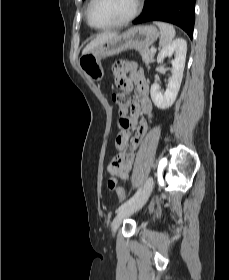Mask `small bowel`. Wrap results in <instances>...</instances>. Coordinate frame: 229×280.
<instances>
[{
	"label": "small bowel",
	"mask_w": 229,
	"mask_h": 280,
	"mask_svg": "<svg viewBox=\"0 0 229 280\" xmlns=\"http://www.w3.org/2000/svg\"><path fill=\"white\" fill-rule=\"evenodd\" d=\"M133 70L132 76L128 77L127 72ZM111 79L123 90H131L132 86L136 87V94L131 102L127 105L119 101L118 94L113 95V100L119 105V113L126 115L130 120V125H134L138 121V117L144 115L134 132L128 129L121 130L116 137L115 146L119 153L129 145L128 169L126 171L109 170L111 180H127L129 170L134 160V153L137 150L140 142L145 136L149 123L153 119L152 103L149 97V84L142 72L137 70L131 64L116 65L111 70ZM129 111V115H128Z\"/></svg>",
	"instance_id": "1"
}]
</instances>
